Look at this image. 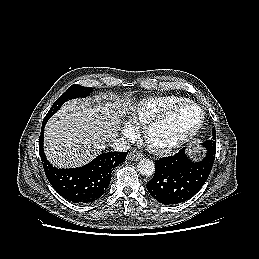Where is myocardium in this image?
<instances>
[{"mask_svg": "<svg viewBox=\"0 0 259 259\" xmlns=\"http://www.w3.org/2000/svg\"><path fill=\"white\" fill-rule=\"evenodd\" d=\"M186 107H193L199 113V118L197 123L185 134L180 135L179 137L170 140V141H159L155 138V132L163 126L176 112L186 108ZM204 123V113L202 108L193 103L191 101H186L179 105L173 106L170 109L166 110L162 114L158 115L157 117L153 118L149 122L146 123L143 130V138L145 141L146 146L154 153L157 154H169L188 142H190L195 135L199 132L202 125Z\"/></svg>", "mask_w": 259, "mask_h": 259, "instance_id": "f54148a6", "label": "myocardium"}]
</instances>
